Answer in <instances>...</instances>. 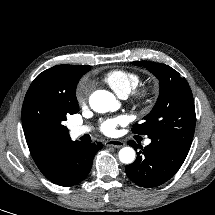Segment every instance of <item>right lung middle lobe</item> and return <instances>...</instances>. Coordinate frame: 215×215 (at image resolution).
Listing matches in <instances>:
<instances>
[{
    "label": "right lung middle lobe",
    "instance_id": "dd1d6c3e",
    "mask_svg": "<svg viewBox=\"0 0 215 215\" xmlns=\"http://www.w3.org/2000/svg\"><path fill=\"white\" fill-rule=\"evenodd\" d=\"M89 69L87 66L85 72ZM85 72H74L71 65H57L39 74L26 93L22 117L45 134L67 133L64 121L79 111L75 91Z\"/></svg>",
    "mask_w": 215,
    "mask_h": 215
}]
</instances>
